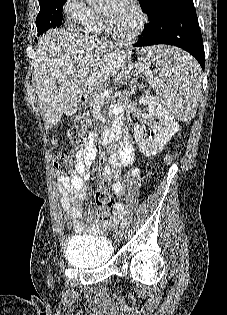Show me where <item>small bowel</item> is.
Instances as JSON below:
<instances>
[{"label": "small bowel", "mask_w": 227, "mask_h": 315, "mask_svg": "<svg viewBox=\"0 0 227 315\" xmlns=\"http://www.w3.org/2000/svg\"><path fill=\"white\" fill-rule=\"evenodd\" d=\"M96 136L91 133L86 144L76 153L74 169L70 174L61 175L56 183L59 194V206L65 215L71 220L73 229L77 234H100L109 227L121 224L124 221L125 208L120 203L113 206L111 219L101 220L96 216L91 206H86L91 194L85 182L89 179L88 171L96 158ZM133 161V152L130 146L121 148L119 157L114 151L110 155V164L102 173L101 184L111 186L117 195H124L125 188L120 174V164L129 165ZM138 169L131 170L128 175L136 177Z\"/></svg>", "instance_id": "c3829d8e"}]
</instances>
